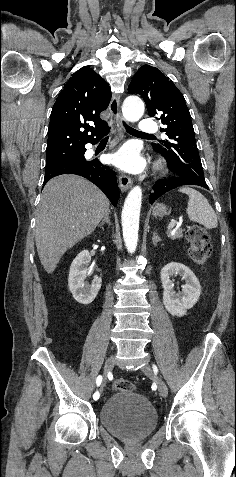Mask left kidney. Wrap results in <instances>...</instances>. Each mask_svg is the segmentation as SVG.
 Here are the masks:
<instances>
[{
	"mask_svg": "<svg viewBox=\"0 0 236 477\" xmlns=\"http://www.w3.org/2000/svg\"><path fill=\"white\" fill-rule=\"evenodd\" d=\"M180 275L186 281L182 286V292L173 290L171 277ZM161 282L163 291V304L165 309L173 316H184L188 309L192 308L201 294V286L195 274L184 264L171 262L161 269Z\"/></svg>",
	"mask_w": 236,
	"mask_h": 477,
	"instance_id": "obj_1",
	"label": "left kidney"
}]
</instances>
